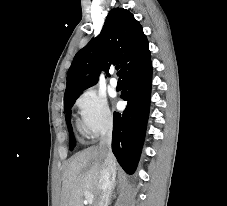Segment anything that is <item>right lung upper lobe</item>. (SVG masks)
I'll list each match as a JSON object with an SVG mask.
<instances>
[{
    "label": "right lung upper lobe",
    "instance_id": "1",
    "mask_svg": "<svg viewBox=\"0 0 227 206\" xmlns=\"http://www.w3.org/2000/svg\"><path fill=\"white\" fill-rule=\"evenodd\" d=\"M148 41L133 14L123 8L112 9L103 29L74 57L67 73L64 99L95 85L101 70L108 75L111 65L120 64V77L150 57Z\"/></svg>",
    "mask_w": 227,
    "mask_h": 206
}]
</instances>
